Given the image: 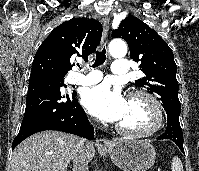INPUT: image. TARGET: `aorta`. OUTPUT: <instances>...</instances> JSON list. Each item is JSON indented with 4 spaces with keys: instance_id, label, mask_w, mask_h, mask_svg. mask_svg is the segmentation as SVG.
Listing matches in <instances>:
<instances>
[{
    "instance_id": "762f6f07",
    "label": "aorta",
    "mask_w": 199,
    "mask_h": 171,
    "mask_svg": "<svg viewBox=\"0 0 199 171\" xmlns=\"http://www.w3.org/2000/svg\"><path fill=\"white\" fill-rule=\"evenodd\" d=\"M109 52L116 57L124 56L127 53V45L121 39H114L109 44Z\"/></svg>"
}]
</instances>
